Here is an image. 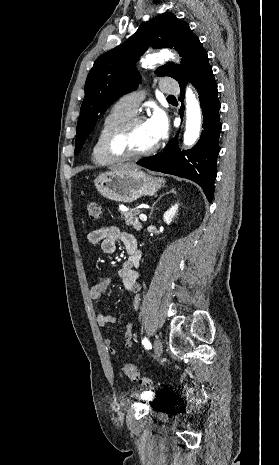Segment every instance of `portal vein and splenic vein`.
<instances>
[{"label":"portal vein and splenic vein","mask_w":279,"mask_h":465,"mask_svg":"<svg viewBox=\"0 0 279 465\" xmlns=\"http://www.w3.org/2000/svg\"><path fill=\"white\" fill-rule=\"evenodd\" d=\"M139 218L142 220V221H146L147 220V216L145 214H140L139 215Z\"/></svg>","instance_id":"18ae733b"}]
</instances>
